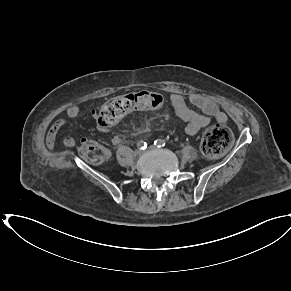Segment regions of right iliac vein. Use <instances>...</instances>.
<instances>
[{"label":"right iliac vein","instance_id":"1","mask_svg":"<svg viewBox=\"0 0 291 291\" xmlns=\"http://www.w3.org/2000/svg\"><path fill=\"white\" fill-rule=\"evenodd\" d=\"M142 154V152L140 150H135L134 151V155L135 156H140Z\"/></svg>","mask_w":291,"mask_h":291}]
</instances>
